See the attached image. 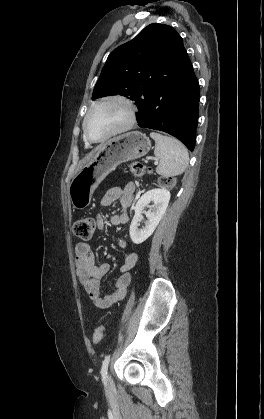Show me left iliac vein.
<instances>
[{
  "label": "left iliac vein",
  "mask_w": 264,
  "mask_h": 419,
  "mask_svg": "<svg viewBox=\"0 0 264 419\" xmlns=\"http://www.w3.org/2000/svg\"><path fill=\"white\" fill-rule=\"evenodd\" d=\"M107 382H108V386L111 387L112 386V380H111V377L109 375L107 376Z\"/></svg>",
  "instance_id": "obj_1"
}]
</instances>
